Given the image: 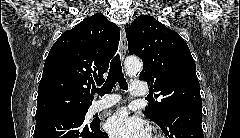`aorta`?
<instances>
[{
    "mask_svg": "<svg viewBox=\"0 0 240 138\" xmlns=\"http://www.w3.org/2000/svg\"><path fill=\"white\" fill-rule=\"evenodd\" d=\"M124 64L127 74L131 76L140 74L143 68L141 61L136 57H128Z\"/></svg>",
    "mask_w": 240,
    "mask_h": 138,
    "instance_id": "762f6f07",
    "label": "aorta"
}]
</instances>
